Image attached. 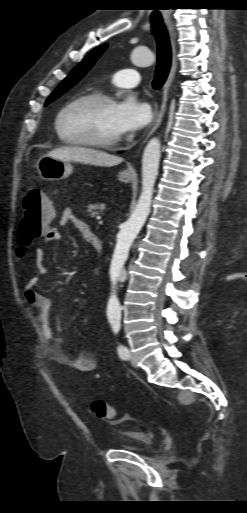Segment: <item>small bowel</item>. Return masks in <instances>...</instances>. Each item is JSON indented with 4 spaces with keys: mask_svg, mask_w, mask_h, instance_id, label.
<instances>
[{
    "mask_svg": "<svg viewBox=\"0 0 247 513\" xmlns=\"http://www.w3.org/2000/svg\"><path fill=\"white\" fill-rule=\"evenodd\" d=\"M60 227H72L87 239L92 233L90 226L82 219L75 216L71 208H64L59 217ZM62 238V234L57 227H50L41 239L45 243L55 242ZM45 254L42 248L35 251V267L37 275L29 278L24 286V300L36 311L37 319L40 323L43 336L46 340V352L49 357L61 365L76 369L80 372H93L98 366V361L94 353L90 350H81L75 353L68 351L64 338L61 335L59 323L52 316V301L37 288L40 284V276L47 272L45 265Z\"/></svg>",
    "mask_w": 247,
    "mask_h": 513,
    "instance_id": "c3829d8e",
    "label": "small bowel"
}]
</instances>
